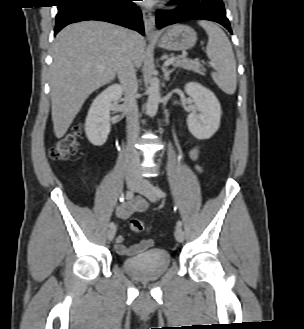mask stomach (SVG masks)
I'll list each match as a JSON object with an SVG mask.
<instances>
[{
    "instance_id": "0dacf381",
    "label": "stomach",
    "mask_w": 304,
    "mask_h": 329,
    "mask_svg": "<svg viewBox=\"0 0 304 329\" xmlns=\"http://www.w3.org/2000/svg\"><path fill=\"white\" fill-rule=\"evenodd\" d=\"M197 41L196 32L187 25H173L159 38L158 45L171 51H184L192 48Z\"/></svg>"
}]
</instances>
